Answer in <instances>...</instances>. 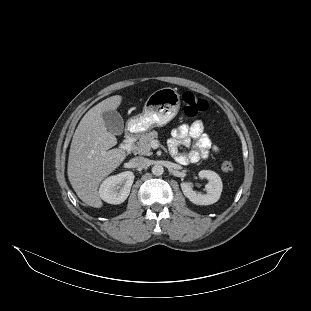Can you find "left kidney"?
<instances>
[{
    "mask_svg": "<svg viewBox=\"0 0 311 311\" xmlns=\"http://www.w3.org/2000/svg\"><path fill=\"white\" fill-rule=\"evenodd\" d=\"M198 175L200 178H206L208 180L205 186L207 193H197L192 189L191 183L183 182L181 183L183 194L196 205H210L217 202L223 189L220 176L211 170H201Z\"/></svg>",
    "mask_w": 311,
    "mask_h": 311,
    "instance_id": "obj_1",
    "label": "left kidney"
}]
</instances>
